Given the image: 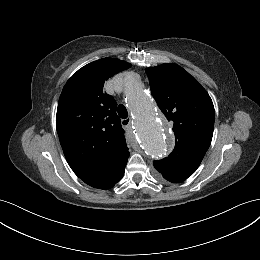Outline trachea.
I'll return each mask as SVG.
<instances>
[{
    "label": "trachea",
    "mask_w": 260,
    "mask_h": 260,
    "mask_svg": "<svg viewBox=\"0 0 260 260\" xmlns=\"http://www.w3.org/2000/svg\"><path fill=\"white\" fill-rule=\"evenodd\" d=\"M117 112L122 119H126L128 117V111L126 107L122 104L118 106Z\"/></svg>",
    "instance_id": "1"
}]
</instances>
